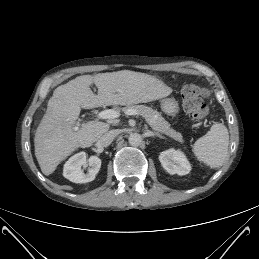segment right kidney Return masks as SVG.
I'll use <instances>...</instances> for the list:
<instances>
[{"label":"right kidney","mask_w":259,"mask_h":259,"mask_svg":"<svg viewBox=\"0 0 259 259\" xmlns=\"http://www.w3.org/2000/svg\"><path fill=\"white\" fill-rule=\"evenodd\" d=\"M88 165L90 168L85 174L81 167ZM101 167V160L97 156L86 159V153L80 152L68 159L64 165L63 176L74 183H88L95 179Z\"/></svg>","instance_id":"ca27d5eb"}]
</instances>
